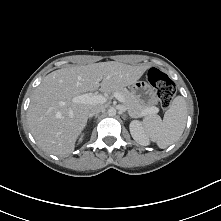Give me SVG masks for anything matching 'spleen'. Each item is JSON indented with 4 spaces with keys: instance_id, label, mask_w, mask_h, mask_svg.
I'll return each mask as SVG.
<instances>
[{
    "instance_id": "3e777b00",
    "label": "spleen",
    "mask_w": 221,
    "mask_h": 221,
    "mask_svg": "<svg viewBox=\"0 0 221 221\" xmlns=\"http://www.w3.org/2000/svg\"><path fill=\"white\" fill-rule=\"evenodd\" d=\"M187 121V105L182 96H177L165 112L163 120L159 115H149L143 120L145 134L164 149L178 141Z\"/></svg>"
}]
</instances>
